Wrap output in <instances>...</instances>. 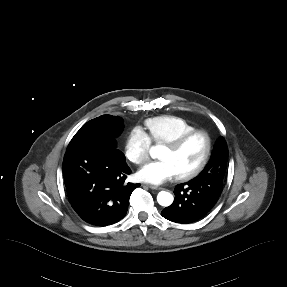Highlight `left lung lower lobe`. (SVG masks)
Returning <instances> with one entry per match:
<instances>
[{
	"mask_svg": "<svg viewBox=\"0 0 287 287\" xmlns=\"http://www.w3.org/2000/svg\"><path fill=\"white\" fill-rule=\"evenodd\" d=\"M222 186L212 182L205 189L192 181L175 187V200L161 215L176 223H191L205 216L218 201Z\"/></svg>",
	"mask_w": 287,
	"mask_h": 287,
	"instance_id": "0a47b994",
	"label": "left lung lower lobe"
}]
</instances>
